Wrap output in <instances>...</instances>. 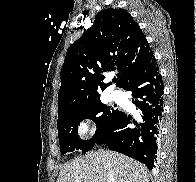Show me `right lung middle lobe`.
<instances>
[{
    "label": "right lung middle lobe",
    "instance_id": "1",
    "mask_svg": "<svg viewBox=\"0 0 196 182\" xmlns=\"http://www.w3.org/2000/svg\"><path fill=\"white\" fill-rule=\"evenodd\" d=\"M118 113V109L106 106L101 102L100 97H96L59 114L57 127L61 154L74 151L75 149H80L82 152L89 151ZM86 118L92 119L96 123L97 131L92 139L83 141L79 139L77 127Z\"/></svg>",
    "mask_w": 196,
    "mask_h": 182
}]
</instances>
